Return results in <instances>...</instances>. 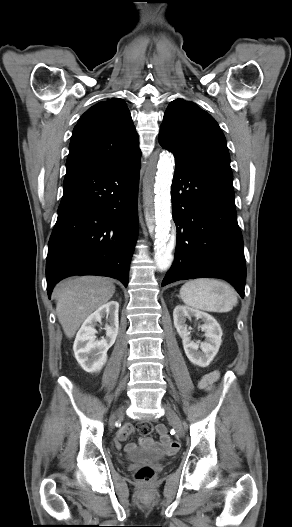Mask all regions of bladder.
<instances>
[{
  "mask_svg": "<svg viewBox=\"0 0 292 527\" xmlns=\"http://www.w3.org/2000/svg\"><path fill=\"white\" fill-rule=\"evenodd\" d=\"M164 459L163 455L150 451H134L127 455L129 461H161Z\"/></svg>",
  "mask_w": 292,
  "mask_h": 527,
  "instance_id": "1",
  "label": "bladder"
}]
</instances>
